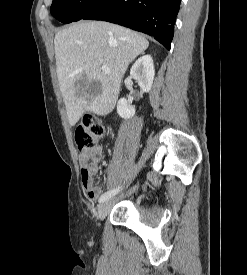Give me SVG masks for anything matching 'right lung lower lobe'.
Masks as SVG:
<instances>
[{
    "mask_svg": "<svg viewBox=\"0 0 247 275\" xmlns=\"http://www.w3.org/2000/svg\"><path fill=\"white\" fill-rule=\"evenodd\" d=\"M181 0H103L82 19L102 20L153 36L170 49Z\"/></svg>",
    "mask_w": 247,
    "mask_h": 275,
    "instance_id": "right-lung-lower-lobe-1",
    "label": "right lung lower lobe"
}]
</instances>
